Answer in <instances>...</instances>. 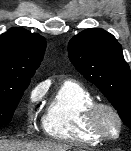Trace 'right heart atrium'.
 Instances as JSON below:
<instances>
[{
    "mask_svg": "<svg viewBox=\"0 0 131 151\" xmlns=\"http://www.w3.org/2000/svg\"><path fill=\"white\" fill-rule=\"evenodd\" d=\"M41 94H42V88L40 86L33 88L29 95L30 102L32 104L37 103L41 97Z\"/></svg>",
    "mask_w": 131,
    "mask_h": 151,
    "instance_id": "d8ad5b80",
    "label": "right heart atrium"
}]
</instances>
